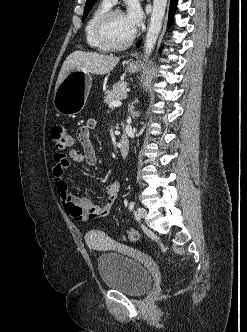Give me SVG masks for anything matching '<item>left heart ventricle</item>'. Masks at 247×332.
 Returning <instances> with one entry per match:
<instances>
[{
  "mask_svg": "<svg viewBox=\"0 0 247 332\" xmlns=\"http://www.w3.org/2000/svg\"><path fill=\"white\" fill-rule=\"evenodd\" d=\"M134 30L128 24L123 13L115 14L106 29L109 40L113 43H121L125 41Z\"/></svg>",
  "mask_w": 247,
  "mask_h": 332,
  "instance_id": "b2bd125f",
  "label": "left heart ventricle"
}]
</instances>
